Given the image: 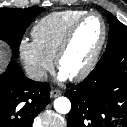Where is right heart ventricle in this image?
I'll return each mask as SVG.
<instances>
[{
    "instance_id": "1",
    "label": "right heart ventricle",
    "mask_w": 127,
    "mask_h": 127,
    "mask_svg": "<svg viewBox=\"0 0 127 127\" xmlns=\"http://www.w3.org/2000/svg\"><path fill=\"white\" fill-rule=\"evenodd\" d=\"M84 13L83 10H64L44 16L31 30L33 41L46 56L55 58L66 32Z\"/></svg>"
}]
</instances>
